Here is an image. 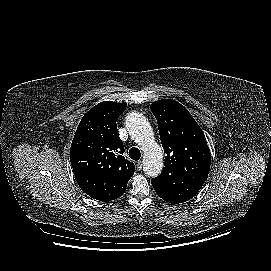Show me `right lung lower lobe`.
<instances>
[{"label": "right lung lower lobe", "mask_w": 271, "mask_h": 271, "mask_svg": "<svg viewBox=\"0 0 271 271\" xmlns=\"http://www.w3.org/2000/svg\"><path fill=\"white\" fill-rule=\"evenodd\" d=\"M80 188L90 197L100 201H111L120 197L126 185L120 181L96 176H75Z\"/></svg>", "instance_id": "1"}]
</instances>
